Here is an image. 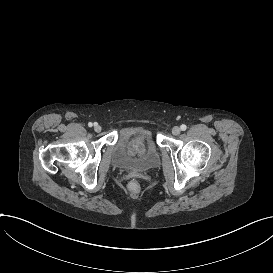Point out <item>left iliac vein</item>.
Wrapping results in <instances>:
<instances>
[{
    "instance_id": "1",
    "label": "left iliac vein",
    "mask_w": 273,
    "mask_h": 273,
    "mask_svg": "<svg viewBox=\"0 0 273 273\" xmlns=\"http://www.w3.org/2000/svg\"><path fill=\"white\" fill-rule=\"evenodd\" d=\"M180 132H181V129L179 127H177V126L173 127V129H172L173 135L177 136L180 134Z\"/></svg>"
}]
</instances>
